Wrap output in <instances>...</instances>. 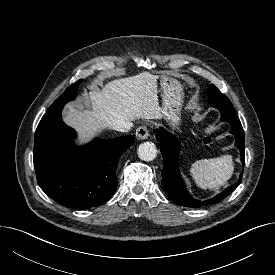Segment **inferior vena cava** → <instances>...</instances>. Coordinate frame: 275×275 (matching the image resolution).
Wrapping results in <instances>:
<instances>
[{
	"instance_id": "602c4592",
	"label": "inferior vena cava",
	"mask_w": 275,
	"mask_h": 275,
	"mask_svg": "<svg viewBox=\"0 0 275 275\" xmlns=\"http://www.w3.org/2000/svg\"><path fill=\"white\" fill-rule=\"evenodd\" d=\"M133 126L131 121L118 122L113 126V129L119 132H128Z\"/></svg>"
}]
</instances>
